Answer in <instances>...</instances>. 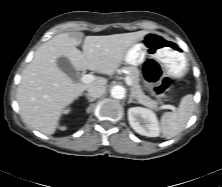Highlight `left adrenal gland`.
<instances>
[{"label": "left adrenal gland", "mask_w": 222, "mask_h": 187, "mask_svg": "<svg viewBox=\"0 0 222 187\" xmlns=\"http://www.w3.org/2000/svg\"><path fill=\"white\" fill-rule=\"evenodd\" d=\"M128 103H137L135 100H133V96L132 95H129V100H128Z\"/></svg>", "instance_id": "obj_1"}]
</instances>
